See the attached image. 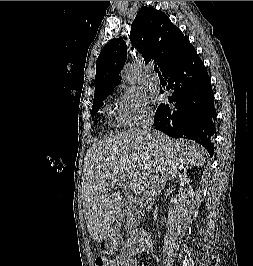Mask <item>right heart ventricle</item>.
<instances>
[{"label": "right heart ventricle", "instance_id": "e07e8e85", "mask_svg": "<svg viewBox=\"0 0 253 266\" xmlns=\"http://www.w3.org/2000/svg\"><path fill=\"white\" fill-rule=\"evenodd\" d=\"M107 114V122L109 125L113 126V127H120L121 125H124L120 115H116L114 113V111H112L111 109H107L106 111Z\"/></svg>", "mask_w": 253, "mask_h": 266}]
</instances>
